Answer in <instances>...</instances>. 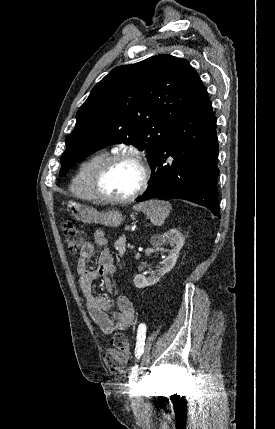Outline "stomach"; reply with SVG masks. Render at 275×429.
Masks as SVG:
<instances>
[{
    "label": "stomach",
    "mask_w": 275,
    "mask_h": 429,
    "mask_svg": "<svg viewBox=\"0 0 275 429\" xmlns=\"http://www.w3.org/2000/svg\"><path fill=\"white\" fill-rule=\"evenodd\" d=\"M67 211L76 220L84 223H100L109 227H118L124 220L122 213L117 210L99 212L94 208L74 201L67 203Z\"/></svg>",
    "instance_id": "obj_1"
}]
</instances>
